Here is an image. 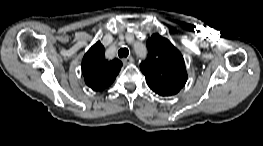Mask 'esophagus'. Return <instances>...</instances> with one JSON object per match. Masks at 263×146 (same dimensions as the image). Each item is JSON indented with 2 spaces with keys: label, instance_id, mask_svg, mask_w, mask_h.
<instances>
[{
  "label": "esophagus",
  "instance_id": "esophagus-1",
  "mask_svg": "<svg viewBox=\"0 0 263 146\" xmlns=\"http://www.w3.org/2000/svg\"><path fill=\"white\" fill-rule=\"evenodd\" d=\"M122 62L124 64H131L134 62V58L133 57L124 58V59H122Z\"/></svg>",
  "mask_w": 263,
  "mask_h": 146
}]
</instances>
